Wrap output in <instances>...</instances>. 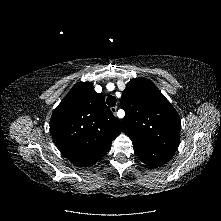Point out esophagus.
Instances as JSON below:
<instances>
[{"instance_id":"obj_1","label":"esophagus","mask_w":221,"mask_h":221,"mask_svg":"<svg viewBox=\"0 0 221 221\" xmlns=\"http://www.w3.org/2000/svg\"><path fill=\"white\" fill-rule=\"evenodd\" d=\"M111 112H112L114 115H116V113H117V107H112V108H111Z\"/></svg>"}]
</instances>
